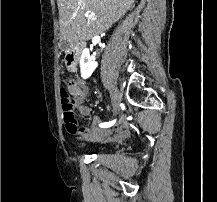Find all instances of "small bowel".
Returning a JSON list of instances; mask_svg holds the SVG:
<instances>
[{
  "instance_id": "small-bowel-1",
  "label": "small bowel",
  "mask_w": 217,
  "mask_h": 202,
  "mask_svg": "<svg viewBox=\"0 0 217 202\" xmlns=\"http://www.w3.org/2000/svg\"><path fill=\"white\" fill-rule=\"evenodd\" d=\"M68 88L74 89V97L79 116L82 118L89 116L91 113L90 107L81 104L88 93V87L84 84L68 83ZM97 120L98 118L95 117L94 121L96 122ZM84 135L85 138L93 141L122 142L131 137V132L125 128L124 122L119 121L117 124H115L114 129L110 132H100L96 130L90 132V130L87 128H83V131H75V136ZM78 147H83V142H78Z\"/></svg>"
}]
</instances>
